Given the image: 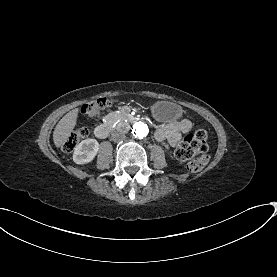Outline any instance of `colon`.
Returning a JSON list of instances; mask_svg holds the SVG:
<instances>
[{
	"label": "colon",
	"instance_id": "colon-1",
	"mask_svg": "<svg viewBox=\"0 0 277 277\" xmlns=\"http://www.w3.org/2000/svg\"><path fill=\"white\" fill-rule=\"evenodd\" d=\"M115 101L114 98L97 97L86 102L82 107V111L89 116L95 117L111 108ZM88 134L89 130L85 127L71 133L64 141L62 149L65 152H70ZM199 153L204 155L198 158L195 155ZM175 155L177 159L187 161V167L190 172L198 173L202 171L209 161L207 132L201 129L191 133L178 144Z\"/></svg>",
	"mask_w": 277,
	"mask_h": 277
}]
</instances>
